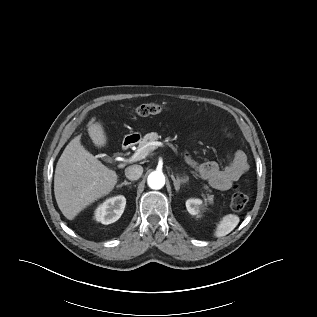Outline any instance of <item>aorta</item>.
Masks as SVG:
<instances>
[{
  "instance_id": "obj_1",
  "label": "aorta",
  "mask_w": 317,
  "mask_h": 317,
  "mask_svg": "<svg viewBox=\"0 0 317 317\" xmlns=\"http://www.w3.org/2000/svg\"><path fill=\"white\" fill-rule=\"evenodd\" d=\"M148 186L152 189H161L165 185V176L162 172H151L147 178Z\"/></svg>"
}]
</instances>
